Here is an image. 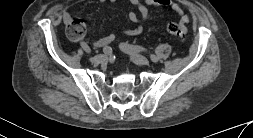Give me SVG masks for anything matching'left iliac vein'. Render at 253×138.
Wrapping results in <instances>:
<instances>
[{
  "label": "left iliac vein",
  "instance_id": "1",
  "mask_svg": "<svg viewBox=\"0 0 253 138\" xmlns=\"http://www.w3.org/2000/svg\"><path fill=\"white\" fill-rule=\"evenodd\" d=\"M122 50L127 53L129 56H131V58L135 61L136 64L139 65H148L149 64V60L144 57L143 55L134 52V51H130L128 49L122 48Z\"/></svg>",
  "mask_w": 253,
  "mask_h": 138
}]
</instances>
